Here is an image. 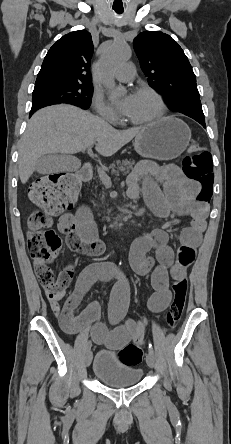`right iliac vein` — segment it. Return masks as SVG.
<instances>
[{
    "instance_id": "obj_1",
    "label": "right iliac vein",
    "mask_w": 231,
    "mask_h": 444,
    "mask_svg": "<svg viewBox=\"0 0 231 444\" xmlns=\"http://www.w3.org/2000/svg\"><path fill=\"white\" fill-rule=\"evenodd\" d=\"M92 358H93V353L91 350H88L85 356V363L86 366H89L92 362Z\"/></svg>"
}]
</instances>
